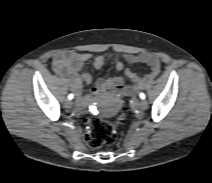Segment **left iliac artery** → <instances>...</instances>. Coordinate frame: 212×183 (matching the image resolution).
Returning a JSON list of instances; mask_svg holds the SVG:
<instances>
[{"instance_id": "left-iliac-artery-1", "label": "left iliac artery", "mask_w": 212, "mask_h": 183, "mask_svg": "<svg viewBox=\"0 0 212 183\" xmlns=\"http://www.w3.org/2000/svg\"><path fill=\"white\" fill-rule=\"evenodd\" d=\"M139 97H140L141 99H145L146 96H145L144 93H140V94H139Z\"/></svg>"}]
</instances>
